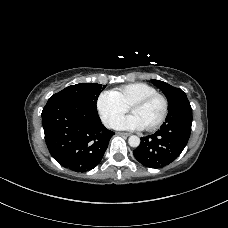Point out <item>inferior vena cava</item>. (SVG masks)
I'll return each instance as SVG.
<instances>
[{
    "label": "inferior vena cava",
    "instance_id": "1",
    "mask_svg": "<svg viewBox=\"0 0 228 228\" xmlns=\"http://www.w3.org/2000/svg\"><path fill=\"white\" fill-rule=\"evenodd\" d=\"M104 123H105V126H106V127H108V128L111 127V126H110V122H109L108 120H106Z\"/></svg>",
    "mask_w": 228,
    "mask_h": 228
}]
</instances>
